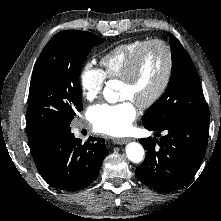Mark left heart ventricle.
I'll list each match as a JSON object with an SVG mask.
<instances>
[{"mask_svg": "<svg viewBox=\"0 0 221 221\" xmlns=\"http://www.w3.org/2000/svg\"><path fill=\"white\" fill-rule=\"evenodd\" d=\"M166 70V55L160 46H152L144 53L135 78L122 82V99H131L137 105L150 98L161 84Z\"/></svg>", "mask_w": 221, "mask_h": 221, "instance_id": "b2bd125f", "label": "left heart ventricle"}]
</instances>
